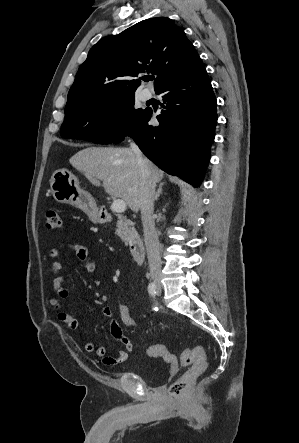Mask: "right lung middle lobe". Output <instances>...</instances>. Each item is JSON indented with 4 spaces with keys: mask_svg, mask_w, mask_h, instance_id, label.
Segmentation results:
<instances>
[{
    "mask_svg": "<svg viewBox=\"0 0 299 443\" xmlns=\"http://www.w3.org/2000/svg\"><path fill=\"white\" fill-rule=\"evenodd\" d=\"M134 102V94H126L68 106L65 108L61 136L109 144L123 134L132 119L143 112V109L134 108Z\"/></svg>",
    "mask_w": 299,
    "mask_h": 443,
    "instance_id": "obj_1",
    "label": "right lung middle lobe"
}]
</instances>
